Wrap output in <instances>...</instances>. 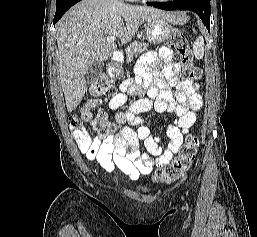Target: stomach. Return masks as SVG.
Returning a JSON list of instances; mask_svg holds the SVG:
<instances>
[{
  "label": "stomach",
  "instance_id": "0dacf381",
  "mask_svg": "<svg viewBox=\"0 0 257 237\" xmlns=\"http://www.w3.org/2000/svg\"><path fill=\"white\" fill-rule=\"evenodd\" d=\"M172 35V27L164 17H152L144 21L145 39L152 44H161Z\"/></svg>",
  "mask_w": 257,
  "mask_h": 237
}]
</instances>
